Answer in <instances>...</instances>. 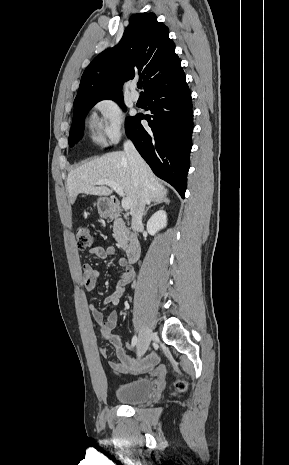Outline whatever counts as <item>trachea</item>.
I'll list each match as a JSON object with an SVG mask.
<instances>
[{
  "instance_id": "trachea-1",
  "label": "trachea",
  "mask_w": 289,
  "mask_h": 465,
  "mask_svg": "<svg viewBox=\"0 0 289 465\" xmlns=\"http://www.w3.org/2000/svg\"><path fill=\"white\" fill-rule=\"evenodd\" d=\"M142 86H143V82H142V81H139V82L137 83V87H138L139 89H142Z\"/></svg>"
}]
</instances>
